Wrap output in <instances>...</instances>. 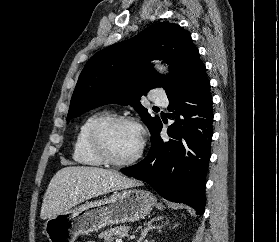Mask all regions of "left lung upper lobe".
<instances>
[{
	"label": "left lung upper lobe",
	"mask_w": 279,
	"mask_h": 242,
	"mask_svg": "<svg viewBox=\"0 0 279 242\" xmlns=\"http://www.w3.org/2000/svg\"><path fill=\"white\" fill-rule=\"evenodd\" d=\"M197 51L190 34L179 25L159 23L97 52L79 76L67 120L104 104L132 105L152 133L161 121L149 115L139 102L141 96L156 87L170 93ZM155 59L169 65V76L153 69L149 61Z\"/></svg>",
	"instance_id": "5c2ea615"
}]
</instances>
